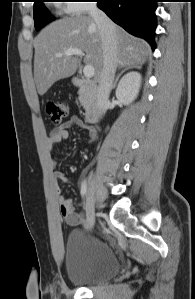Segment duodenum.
I'll return each instance as SVG.
<instances>
[{
  "mask_svg": "<svg viewBox=\"0 0 195 299\" xmlns=\"http://www.w3.org/2000/svg\"><path fill=\"white\" fill-rule=\"evenodd\" d=\"M74 84L82 92L87 102V109L84 115L85 122L88 124L97 123L103 111V99L99 86L95 82L81 77H76Z\"/></svg>",
  "mask_w": 195,
  "mask_h": 299,
  "instance_id": "obj_1",
  "label": "duodenum"
}]
</instances>
